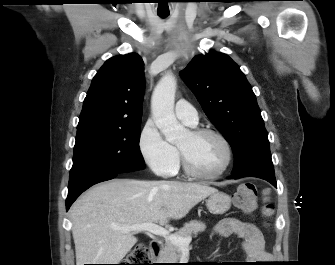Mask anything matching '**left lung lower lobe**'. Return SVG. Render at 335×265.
<instances>
[{
    "label": "left lung lower lobe",
    "instance_id": "0a47b994",
    "mask_svg": "<svg viewBox=\"0 0 335 265\" xmlns=\"http://www.w3.org/2000/svg\"><path fill=\"white\" fill-rule=\"evenodd\" d=\"M242 177H258V178L267 180L274 187H277L275 176H269V175L262 174V173H247V174H244V175H234V174H232L231 178L238 179V178H242Z\"/></svg>",
    "mask_w": 335,
    "mask_h": 265
}]
</instances>
